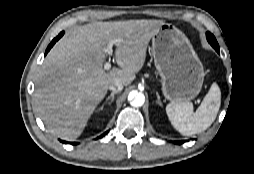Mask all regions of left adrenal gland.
Listing matches in <instances>:
<instances>
[{
    "mask_svg": "<svg viewBox=\"0 0 254 174\" xmlns=\"http://www.w3.org/2000/svg\"><path fill=\"white\" fill-rule=\"evenodd\" d=\"M156 95H157V103H158L159 105H162V102H161V100H160V96H159L158 92H156Z\"/></svg>",
    "mask_w": 254,
    "mask_h": 174,
    "instance_id": "a2214340",
    "label": "left adrenal gland"
}]
</instances>
